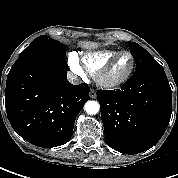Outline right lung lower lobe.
I'll return each instance as SVG.
<instances>
[{
    "instance_id": "obj_1",
    "label": "right lung lower lobe",
    "mask_w": 178,
    "mask_h": 178,
    "mask_svg": "<svg viewBox=\"0 0 178 178\" xmlns=\"http://www.w3.org/2000/svg\"><path fill=\"white\" fill-rule=\"evenodd\" d=\"M64 58L20 59L6 82L5 106L13 129L38 147L65 144L78 113L90 99V88L67 80Z\"/></svg>"
}]
</instances>
